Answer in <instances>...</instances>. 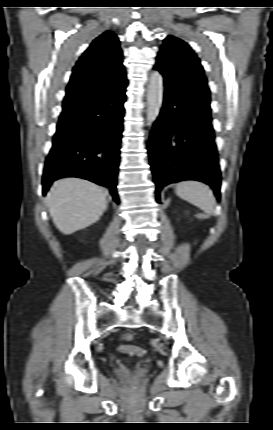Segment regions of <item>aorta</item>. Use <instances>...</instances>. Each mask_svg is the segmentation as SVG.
<instances>
[{
  "label": "aorta",
  "instance_id": "762f6f07",
  "mask_svg": "<svg viewBox=\"0 0 273 430\" xmlns=\"http://www.w3.org/2000/svg\"><path fill=\"white\" fill-rule=\"evenodd\" d=\"M163 77L153 71L148 84L147 93V122L152 123L159 115L163 101Z\"/></svg>",
  "mask_w": 273,
  "mask_h": 430
}]
</instances>
